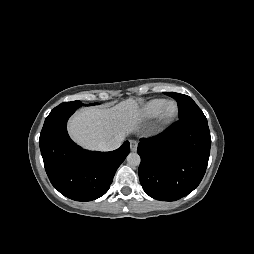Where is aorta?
Here are the masks:
<instances>
[{
    "instance_id": "762f6f07",
    "label": "aorta",
    "mask_w": 254,
    "mask_h": 254,
    "mask_svg": "<svg viewBox=\"0 0 254 254\" xmlns=\"http://www.w3.org/2000/svg\"><path fill=\"white\" fill-rule=\"evenodd\" d=\"M126 159L130 166H138L141 162L139 154L134 152L129 153Z\"/></svg>"
}]
</instances>
